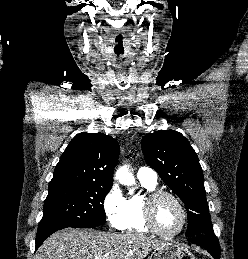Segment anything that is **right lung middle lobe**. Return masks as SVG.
Here are the masks:
<instances>
[{
    "label": "right lung middle lobe",
    "mask_w": 248,
    "mask_h": 259,
    "mask_svg": "<svg viewBox=\"0 0 248 259\" xmlns=\"http://www.w3.org/2000/svg\"><path fill=\"white\" fill-rule=\"evenodd\" d=\"M111 188L95 183L49 185L38 230L56 226L92 228L106 223L103 203Z\"/></svg>",
    "instance_id": "1"
}]
</instances>
